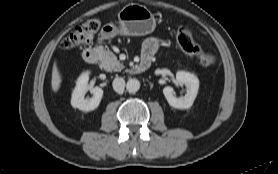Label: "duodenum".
Instances as JSON below:
<instances>
[{
  "label": "duodenum",
  "mask_w": 278,
  "mask_h": 174,
  "mask_svg": "<svg viewBox=\"0 0 278 174\" xmlns=\"http://www.w3.org/2000/svg\"><path fill=\"white\" fill-rule=\"evenodd\" d=\"M99 56V50L96 48H88L83 52V59L88 64H94L97 62ZM151 65L150 58H143L135 67V72L141 73L146 71Z\"/></svg>",
  "instance_id": "410a0bca"
}]
</instances>
